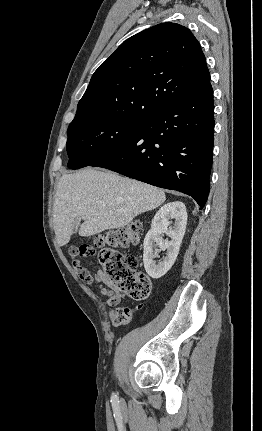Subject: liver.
<instances>
[{
  "mask_svg": "<svg viewBox=\"0 0 262 431\" xmlns=\"http://www.w3.org/2000/svg\"><path fill=\"white\" fill-rule=\"evenodd\" d=\"M165 200L163 190L111 171L85 168L65 174L59 180L53 206L57 242L64 246L70 241L76 217L84 221L79 235L89 237L126 226ZM100 202L106 206H100Z\"/></svg>",
  "mask_w": 262,
  "mask_h": 431,
  "instance_id": "obj_1",
  "label": "liver"
}]
</instances>
